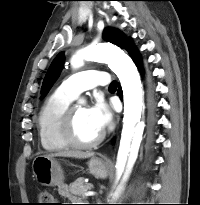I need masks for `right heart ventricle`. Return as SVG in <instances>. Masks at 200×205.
<instances>
[{
	"label": "right heart ventricle",
	"mask_w": 200,
	"mask_h": 205,
	"mask_svg": "<svg viewBox=\"0 0 200 205\" xmlns=\"http://www.w3.org/2000/svg\"><path fill=\"white\" fill-rule=\"evenodd\" d=\"M73 99L59 88L43 104L38 116V131L41 145L46 151H61L68 147L61 136V123Z\"/></svg>",
	"instance_id": "1"
}]
</instances>
